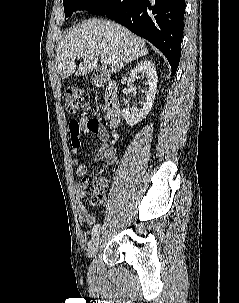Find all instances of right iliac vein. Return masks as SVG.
<instances>
[{
  "label": "right iliac vein",
  "instance_id": "1",
  "mask_svg": "<svg viewBox=\"0 0 239 303\" xmlns=\"http://www.w3.org/2000/svg\"><path fill=\"white\" fill-rule=\"evenodd\" d=\"M100 245H101V237H100V233H97L95 236H93L91 243L89 245L88 256L93 257L98 251Z\"/></svg>",
  "mask_w": 239,
  "mask_h": 303
}]
</instances>
